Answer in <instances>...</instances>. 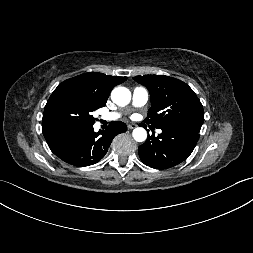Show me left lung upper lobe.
<instances>
[{
	"label": "left lung upper lobe",
	"instance_id": "obj_1",
	"mask_svg": "<svg viewBox=\"0 0 253 253\" xmlns=\"http://www.w3.org/2000/svg\"><path fill=\"white\" fill-rule=\"evenodd\" d=\"M133 79L150 92L152 107L145 119L156 128H201L203 106L183 81L164 75L136 76Z\"/></svg>",
	"mask_w": 253,
	"mask_h": 253
}]
</instances>
